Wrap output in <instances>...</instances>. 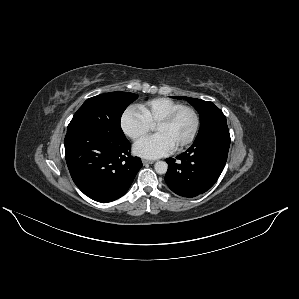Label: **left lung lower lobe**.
I'll use <instances>...</instances> for the list:
<instances>
[{"mask_svg": "<svg viewBox=\"0 0 299 299\" xmlns=\"http://www.w3.org/2000/svg\"><path fill=\"white\" fill-rule=\"evenodd\" d=\"M229 146V130L219 129L195 140L176 159L167 158L168 187L183 197H195L209 190L224 169Z\"/></svg>", "mask_w": 299, "mask_h": 299, "instance_id": "1", "label": "left lung lower lobe"}]
</instances>
